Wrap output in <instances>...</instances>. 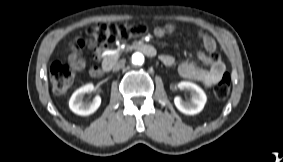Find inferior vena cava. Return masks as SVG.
<instances>
[{"mask_svg": "<svg viewBox=\"0 0 283 162\" xmlns=\"http://www.w3.org/2000/svg\"><path fill=\"white\" fill-rule=\"evenodd\" d=\"M125 61L124 60H120L117 63L114 64L113 66V71H117L120 68L124 67Z\"/></svg>", "mask_w": 283, "mask_h": 162, "instance_id": "602c4592", "label": "inferior vena cava"}]
</instances>
